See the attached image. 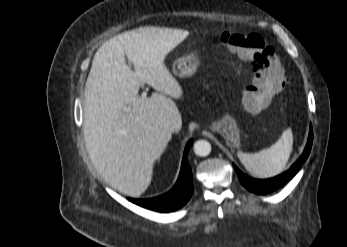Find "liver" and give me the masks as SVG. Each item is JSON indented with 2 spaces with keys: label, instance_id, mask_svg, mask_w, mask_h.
<instances>
[{
  "label": "liver",
  "instance_id": "1",
  "mask_svg": "<svg viewBox=\"0 0 347 247\" xmlns=\"http://www.w3.org/2000/svg\"><path fill=\"white\" fill-rule=\"evenodd\" d=\"M188 35L186 30L139 28L110 38L94 55L84 90V139L98 173L121 193L138 197L148 188L155 161L182 127L171 98H181L183 90L164 59ZM143 83L163 94L142 99Z\"/></svg>",
  "mask_w": 347,
  "mask_h": 247
}]
</instances>
